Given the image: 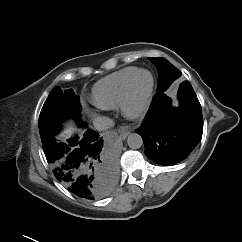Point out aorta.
<instances>
[{
    "instance_id": "obj_1",
    "label": "aorta",
    "mask_w": 242,
    "mask_h": 242,
    "mask_svg": "<svg viewBox=\"0 0 242 242\" xmlns=\"http://www.w3.org/2000/svg\"><path fill=\"white\" fill-rule=\"evenodd\" d=\"M127 144L131 149H139L143 145L142 137L137 133L129 134Z\"/></svg>"
}]
</instances>
